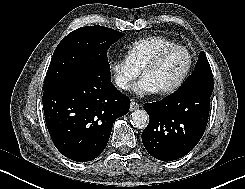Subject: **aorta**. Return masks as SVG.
Returning <instances> with one entry per match:
<instances>
[{"label":"aorta","mask_w":245,"mask_h":189,"mask_svg":"<svg viewBox=\"0 0 245 189\" xmlns=\"http://www.w3.org/2000/svg\"><path fill=\"white\" fill-rule=\"evenodd\" d=\"M132 125L138 129H144L149 122V117L144 110H135L131 114Z\"/></svg>","instance_id":"aorta-1"}]
</instances>
